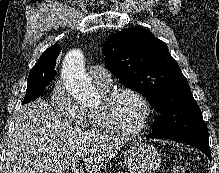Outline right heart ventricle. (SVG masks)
Returning a JSON list of instances; mask_svg holds the SVG:
<instances>
[{
  "label": "right heart ventricle",
  "instance_id": "obj_1",
  "mask_svg": "<svg viewBox=\"0 0 219 173\" xmlns=\"http://www.w3.org/2000/svg\"><path fill=\"white\" fill-rule=\"evenodd\" d=\"M96 86L102 94L109 90V86H101L98 84H96ZM79 124L91 131L109 132V130L103 124L96 107L81 108V121Z\"/></svg>",
  "mask_w": 219,
  "mask_h": 173
}]
</instances>
